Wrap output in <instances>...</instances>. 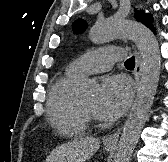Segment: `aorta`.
<instances>
[{
    "label": "aorta",
    "mask_w": 168,
    "mask_h": 162,
    "mask_svg": "<svg viewBox=\"0 0 168 162\" xmlns=\"http://www.w3.org/2000/svg\"><path fill=\"white\" fill-rule=\"evenodd\" d=\"M89 37L94 44L130 37L142 55V75L137 96L125 122L113 159V162H129L156 94L161 66L159 45L153 32L146 26L117 18L97 22L90 29ZM95 89L94 84L84 81L80 84L79 94L81 97H89L94 94Z\"/></svg>",
    "instance_id": "aorta-1"
}]
</instances>
